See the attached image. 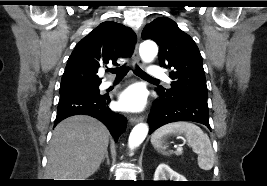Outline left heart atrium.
<instances>
[{"mask_svg": "<svg viewBox=\"0 0 267 186\" xmlns=\"http://www.w3.org/2000/svg\"><path fill=\"white\" fill-rule=\"evenodd\" d=\"M145 105L146 92L138 85L128 87L119 95L118 106L121 110L139 112L144 109Z\"/></svg>", "mask_w": 267, "mask_h": 186, "instance_id": "39dd6f15", "label": "left heart atrium"}]
</instances>
